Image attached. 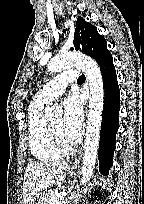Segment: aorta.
I'll list each match as a JSON object with an SVG mask.
<instances>
[{
  "mask_svg": "<svg viewBox=\"0 0 144 204\" xmlns=\"http://www.w3.org/2000/svg\"><path fill=\"white\" fill-rule=\"evenodd\" d=\"M73 66L80 68L85 73L90 87L89 112L81 179V184L86 185L92 177L98 154L104 105V86L101 70L97 62L85 55L77 53L58 54L48 63V70L50 72H60ZM45 114L50 119H53L61 116L62 110L55 105H51L46 107Z\"/></svg>",
  "mask_w": 144,
  "mask_h": 204,
  "instance_id": "1",
  "label": "aorta"
}]
</instances>
